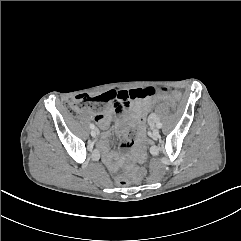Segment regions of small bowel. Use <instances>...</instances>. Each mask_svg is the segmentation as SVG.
Masks as SVG:
<instances>
[{
	"instance_id": "obj_1",
	"label": "small bowel",
	"mask_w": 241,
	"mask_h": 241,
	"mask_svg": "<svg viewBox=\"0 0 241 241\" xmlns=\"http://www.w3.org/2000/svg\"><path fill=\"white\" fill-rule=\"evenodd\" d=\"M137 95L134 97L138 102L133 103L129 106V102L126 106V109L129 107L128 116L126 115V110L123 116L116 122V130L117 132L124 137V140L121 143V147H130L134 144L136 131L134 129L130 130V136H128L129 128H136L141 134L144 130V121L145 114L143 113V109L150 105V101H141L143 99H151L155 97L158 93V90L155 86L150 85L146 88H138ZM110 92V91H109ZM106 92V93H109ZM169 95L176 96L175 90H170ZM134 100V99H132ZM130 101V100H129ZM112 108H107L105 113L94 114L92 117L97 122V124L102 129H107L110 125L111 120V112L114 109L117 111L115 105L111 104ZM110 136L109 132L103 133L101 138L98 141V147L101 150L103 161L113 170H116V164L113 157V154L110 151V143L108 142V138Z\"/></svg>"
}]
</instances>
